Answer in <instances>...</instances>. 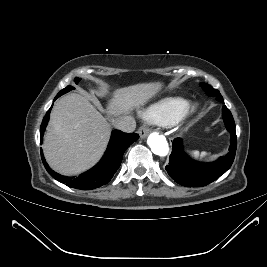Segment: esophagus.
Returning a JSON list of instances; mask_svg holds the SVG:
<instances>
[{"label": "esophagus", "instance_id": "esophagus-1", "mask_svg": "<svg viewBox=\"0 0 267 267\" xmlns=\"http://www.w3.org/2000/svg\"><path fill=\"white\" fill-rule=\"evenodd\" d=\"M141 138L147 137V135L150 133V129L146 126H141L138 131Z\"/></svg>", "mask_w": 267, "mask_h": 267}]
</instances>
